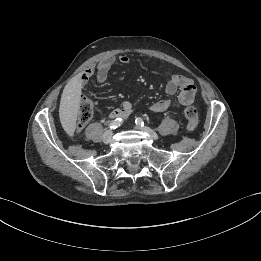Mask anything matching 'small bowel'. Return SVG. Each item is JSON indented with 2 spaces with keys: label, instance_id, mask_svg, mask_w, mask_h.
<instances>
[{
  "label": "small bowel",
  "instance_id": "obj_1",
  "mask_svg": "<svg viewBox=\"0 0 261 261\" xmlns=\"http://www.w3.org/2000/svg\"><path fill=\"white\" fill-rule=\"evenodd\" d=\"M119 62L122 64H129L130 59L126 55L119 56ZM114 57H108L102 60L95 68L86 70L81 78V83L86 82L90 77L95 75L98 83H104L110 71V68L115 63ZM168 81L165 85V91L168 94H177L178 100L176 102L169 99H161L149 106V110L154 113H161L170 108H179L180 106H187L194 102L196 97V86L194 82L183 75L174 74L166 71ZM133 111V106L130 102H123L118 108L111 111L108 115V119L121 118L122 120L127 119Z\"/></svg>",
  "mask_w": 261,
  "mask_h": 261
}]
</instances>
